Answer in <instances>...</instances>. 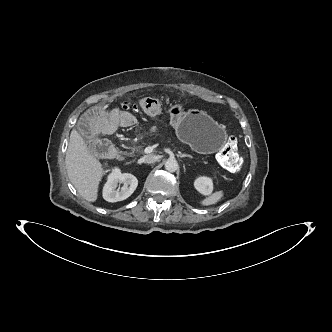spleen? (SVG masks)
<instances>
[{
  "label": "spleen",
  "instance_id": "1",
  "mask_svg": "<svg viewBox=\"0 0 332 332\" xmlns=\"http://www.w3.org/2000/svg\"><path fill=\"white\" fill-rule=\"evenodd\" d=\"M223 195H224L223 191H216V192L212 193L209 197L203 199L201 201V205L209 206V205L216 204L217 202H219L222 199Z\"/></svg>",
  "mask_w": 332,
  "mask_h": 332
}]
</instances>
